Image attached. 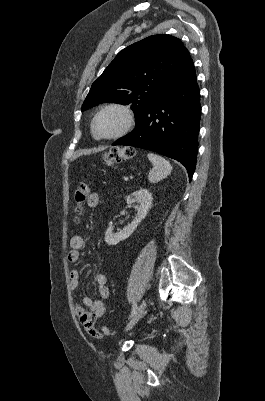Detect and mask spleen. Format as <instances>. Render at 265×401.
Segmentation results:
<instances>
[{
    "label": "spleen",
    "mask_w": 265,
    "mask_h": 401,
    "mask_svg": "<svg viewBox=\"0 0 265 401\" xmlns=\"http://www.w3.org/2000/svg\"><path fill=\"white\" fill-rule=\"evenodd\" d=\"M150 162L153 164L152 170L148 174L149 182H159L162 178H166L172 170V166L169 160H165L163 156L159 154H153V152H148L147 154Z\"/></svg>",
    "instance_id": "1"
}]
</instances>
